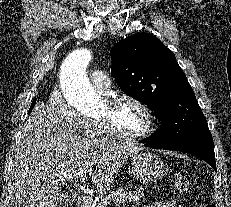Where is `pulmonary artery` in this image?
Listing matches in <instances>:
<instances>
[{
	"mask_svg": "<svg viewBox=\"0 0 231 207\" xmlns=\"http://www.w3.org/2000/svg\"><path fill=\"white\" fill-rule=\"evenodd\" d=\"M90 81L93 87L100 92H107L110 87V78L106 71L102 69L92 71Z\"/></svg>",
	"mask_w": 231,
	"mask_h": 207,
	"instance_id": "obj_1",
	"label": "pulmonary artery"
}]
</instances>
